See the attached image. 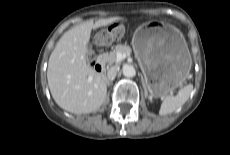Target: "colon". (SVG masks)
Instances as JSON below:
<instances>
[{
  "label": "colon",
  "mask_w": 230,
  "mask_h": 155,
  "mask_svg": "<svg viewBox=\"0 0 230 155\" xmlns=\"http://www.w3.org/2000/svg\"><path fill=\"white\" fill-rule=\"evenodd\" d=\"M125 32V26L121 22H116L109 26L108 29L102 30L96 35V42L103 46L107 45L114 40H120L123 38Z\"/></svg>",
  "instance_id": "5ec220e1"
}]
</instances>
